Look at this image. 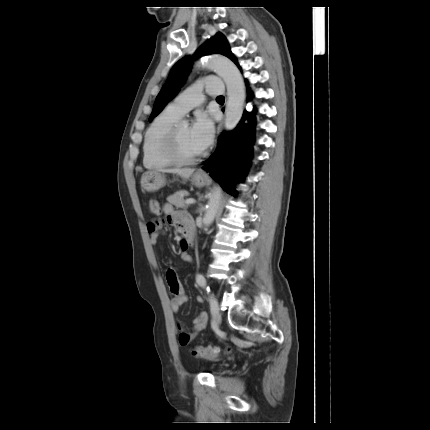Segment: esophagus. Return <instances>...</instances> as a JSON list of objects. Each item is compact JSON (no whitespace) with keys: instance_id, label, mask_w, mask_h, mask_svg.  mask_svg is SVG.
<instances>
[{"instance_id":"esophagus-1","label":"esophagus","mask_w":430,"mask_h":430,"mask_svg":"<svg viewBox=\"0 0 430 430\" xmlns=\"http://www.w3.org/2000/svg\"><path fill=\"white\" fill-rule=\"evenodd\" d=\"M220 131H221V125H220V127L218 128V133H220ZM197 173H198V174H200V175H205V174H206L202 169H199V170L197 171Z\"/></svg>"}]
</instances>
